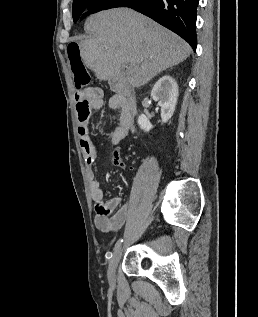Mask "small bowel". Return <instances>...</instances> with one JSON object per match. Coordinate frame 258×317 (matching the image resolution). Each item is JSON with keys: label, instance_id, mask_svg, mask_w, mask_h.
Here are the masks:
<instances>
[{"label": "small bowel", "instance_id": "obj_1", "mask_svg": "<svg viewBox=\"0 0 258 317\" xmlns=\"http://www.w3.org/2000/svg\"><path fill=\"white\" fill-rule=\"evenodd\" d=\"M102 104V92L99 88L93 87L85 92L84 98L76 103L77 130L87 166L90 195L95 205V226L102 232L115 233L126 222L132 203L123 201L121 197L105 200L101 184L95 177L94 164L99 151L90 138L88 124L92 113L99 110ZM109 106L119 113L118 123L112 134V143L117 144L132 133L136 107L134 101L121 94L113 95L109 99ZM113 164L122 169L126 167L118 152L114 153Z\"/></svg>", "mask_w": 258, "mask_h": 317}]
</instances>
